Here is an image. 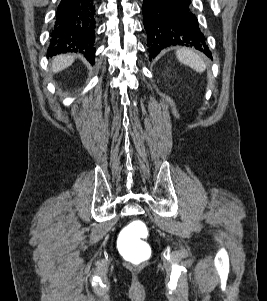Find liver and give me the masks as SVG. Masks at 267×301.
<instances>
[{
  "label": "liver",
  "mask_w": 267,
  "mask_h": 301,
  "mask_svg": "<svg viewBox=\"0 0 267 301\" xmlns=\"http://www.w3.org/2000/svg\"><path fill=\"white\" fill-rule=\"evenodd\" d=\"M75 56L72 54H63L58 55L52 60V72L58 73L69 66L74 62Z\"/></svg>",
  "instance_id": "obj_1"
}]
</instances>
